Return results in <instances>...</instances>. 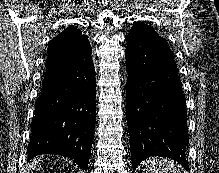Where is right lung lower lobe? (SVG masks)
<instances>
[{
	"instance_id": "obj_1",
	"label": "right lung lower lobe",
	"mask_w": 219,
	"mask_h": 173,
	"mask_svg": "<svg viewBox=\"0 0 219 173\" xmlns=\"http://www.w3.org/2000/svg\"><path fill=\"white\" fill-rule=\"evenodd\" d=\"M95 69L91 54L59 66L46 61L40 97L35 102L28 159L62 155L86 170L96 122Z\"/></svg>"
}]
</instances>
